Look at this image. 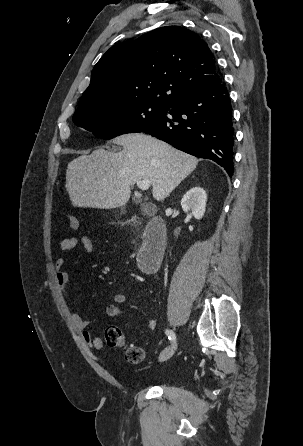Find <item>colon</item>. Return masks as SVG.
I'll use <instances>...</instances> for the list:
<instances>
[{"label": "colon", "instance_id": "obj_1", "mask_svg": "<svg viewBox=\"0 0 303 446\" xmlns=\"http://www.w3.org/2000/svg\"><path fill=\"white\" fill-rule=\"evenodd\" d=\"M68 221L73 230H80V222L75 216L69 215ZM105 341L111 348L123 349L126 361L131 364H138L144 358V352L139 346L126 343L124 334L118 326L111 325L105 329Z\"/></svg>", "mask_w": 303, "mask_h": 446}]
</instances>
